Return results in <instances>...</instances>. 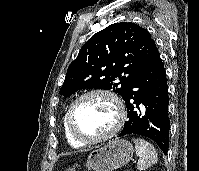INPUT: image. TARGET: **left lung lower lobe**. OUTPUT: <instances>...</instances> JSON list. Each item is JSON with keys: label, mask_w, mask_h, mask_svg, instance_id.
Wrapping results in <instances>:
<instances>
[{"label": "left lung lower lobe", "mask_w": 199, "mask_h": 171, "mask_svg": "<svg viewBox=\"0 0 199 171\" xmlns=\"http://www.w3.org/2000/svg\"><path fill=\"white\" fill-rule=\"evenodd\" d=\"M124 100L128 116L119 136L138 134L148 137L167 154L169 97L166 72L158 50L136 76Z\"/></svg>", "instance_id": "0a47b994"}]
</instances>
